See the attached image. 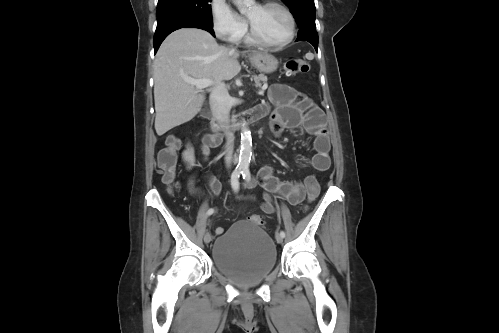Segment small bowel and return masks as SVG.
<instances>
[{
	"label": "small bowel",
	"instance_id": "small-bowel-1",
	"mask_svg": "<svg viewBox=\"0 0 499 333\" xmlns=\"http://www.w3.org/2000/svg\"><path fill=\"white\" fill-rule=\"evenodd\" d=\"M269 100L276 106L270 118V128L273 134L279 136L286 129H297L309 134L313 137L312 166L319 172L328 170L330 140L322 110L304 93L285 84H273L269 89ZM260 107L265 110L266 114L269 113L268 104H262ZM220 141L221 138L215 135L203 137L201 149L205 159L209 155L210 148L216 147ZM204 178L210 188V194L218 195L222 190L220 181L211 173H206ZM256 185L265 190L263 198L258 201L260 209L265 214H272L275 211L274 195H278L291 205L299 204L305 197L304 186L301 183L280 181L267 166L261 168L255 181L245 184V187L251 188ZM188 187L194 195L202 193L196 186L195 176L190 177ZM247 199L256 200L254 196H248ZM216 231L222 233L224 228L219 227Z\"/></svg>",
	"mask_w": 499,
	"mask_h": 333
}]
</instances>
